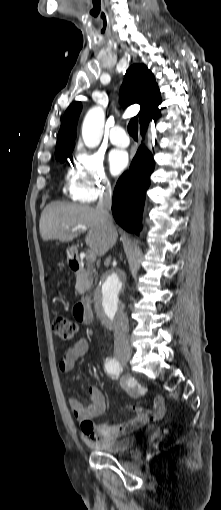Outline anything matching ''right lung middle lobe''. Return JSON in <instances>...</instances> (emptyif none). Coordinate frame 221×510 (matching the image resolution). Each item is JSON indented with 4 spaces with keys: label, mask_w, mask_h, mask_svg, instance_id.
Instances as JSON below:
<instances>
[{
    "label": "right lung middle lobe",
    "mask_w": 221,
    "mask_h": 510,
    "mask_svg": "<svg viewBox=\"0 0 221 510\" xmlns=\"http://www.w3.org/2000/svg\"><path fill=\"white\" fill-rule=\"evenodd\" d=\"M72 150H73V148H71V149H69V150H67V151H65V152H63V153H61L59 155H56V159L60 160L61 162L65 161L70 156Z\"/></svg>",
    "instance_id": "dd1d6c3e"
}]
</instances>
